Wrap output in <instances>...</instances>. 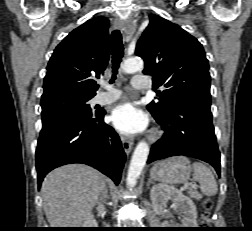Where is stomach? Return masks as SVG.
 I'll use <instances>...</instances> for the list:
<instances>
[{
  "instance_id": "0dacf381",
  "label": "stomach",
  "mask_w": 252,
  "mask_h": 231,
  "mask_svg": "<svg viewBox=\"0 0 252 231\" xmlns=\"http://www.w3.org/2000/svg\"><path fill=\"white\" fill-rule=\"evenodd\" d=\"M190 175V161L184 156H176L157 162L150 170V176L153 180L169 184L185 183L189 180Z\"/></svg>"
}]
</instances>
